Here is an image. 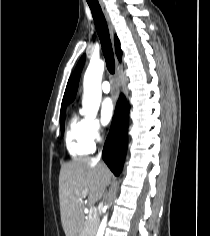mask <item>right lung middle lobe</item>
Wrapping results in <instances>:
<instances>
[{"label": "right lung middle lobe", "mask_w": 210, "mask_h": 236, "mask_svg": "<svg viewBox=\"0 0 210 236\" xmlns=\"http://www.w3.org/2000/svg\"><path fill=\"white\" fill-rule=\"evenodd\" d=\"M64 120H65V112L60 113V126L62 133L64 132Z\"/></svg>", "instance_id": "1"}]
</instances>
